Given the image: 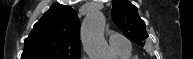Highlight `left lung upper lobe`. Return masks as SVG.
<instances>
[{"instance_id":"1","label":"left lung upper lobe","mask_w":193,"mask_h":59,"mask_svg":"<svg viewBox=\"0 0 193 59\" xmlns=\"http://www.w3.org/2000/svg\"><path fill=\"white\" fill-rule=\"evenodd\" d=\"M111 13L114 23L123 34L132 42L143 47L148 34L144 21L138 15L137 8L127 0H114Z\"/></svg>"}]
</instances>
